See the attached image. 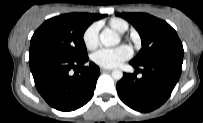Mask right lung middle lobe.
<instances>
[{
    "label": "right lung middle lobe",
    "instance_id": "obj_1",
    "mask_svg": "<svg viewBox=\"0 0 203 123\" xmlns=\"http://www.w3.org/2000/svg\"><path fill=\"white\" fill-rule=\"evenodd\" d=\"M91 23L85 13H69L48 19L34 32L29 52L83 58L87 56L83 35Z\"/></svg>",
    "mask_w": 203,
    "mask_h": 123
}]
</instances>
